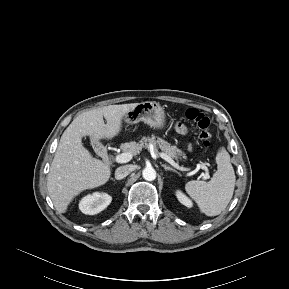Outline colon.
Masks as SVG:
<instances>
[{
    "instance_id": "5ec220e1",
    "label": "colon",
    "mask_w": 289,
    "mask_h": 289,
    "mask_svg": "<svg viewBox=\"0 0 289 289\" xmlns=\"http://www.w3.org/2000/svg\"><path fill=\"white\" fill-rule=\"evenodd\" d=\"M185 117L191 122L195 123L199 129V138L205 148L211 145L210 119L197 109H188L185 112Z\"/></svg>"
}]
</instances>
